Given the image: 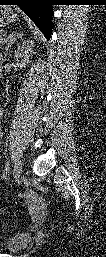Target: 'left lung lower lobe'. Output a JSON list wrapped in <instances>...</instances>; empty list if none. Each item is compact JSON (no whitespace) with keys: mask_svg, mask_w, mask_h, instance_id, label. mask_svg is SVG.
<instances>
[{"mask_svg":"<svg viewBox=\"0 0 106 257\" xmlns=\"http://www.w3.org/2000/svg\"><path fill=\"white\" fill-rule=\"evenodd\" d=\"M1 5H18L38 26L46 38H50L51 0H0Z\"/></svg>","mask_w":106,"mask_h":257,"instance_id":"1","label":"left lung lower lobe"}]
</instances>
